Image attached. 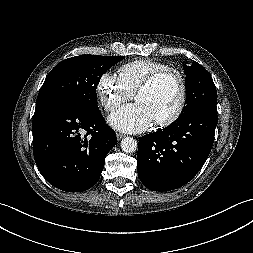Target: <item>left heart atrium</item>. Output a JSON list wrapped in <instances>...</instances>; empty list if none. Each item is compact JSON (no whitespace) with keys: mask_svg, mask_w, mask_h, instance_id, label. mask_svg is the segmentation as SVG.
I'll return each instance as SVG.
<instances>
[{"mask_svg":"<svg viewBox=\"0 0 253 253\" xmlns=\"http://www.w3.org/2000/svg\"><path fill=\"white\" fill-rule=\"evenodd\" d=\"M153 122L151 112L141 103L123 106L109 117V123L114 128L128 133L141 132Z\"/></svg>","mask_w":253,"mask_h":253,"instance_id":"39dd6f15","label":"left heart atrium"}]
</instances>
